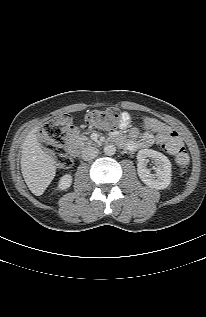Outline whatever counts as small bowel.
<instances>
[{
	"mask_svg": "<svg viewBox=\"0 0 206 317\" xmlns=\"http://www.w3.org/2000/svg\"><path fill=\"white\" fill-rule=\"evenodd\" d=\"M130 124V114L127 112L123 113L120 127L126 129L130 126ZM142 124L145 132L140 139H137L139 134L138 129L129 128L126 138L118 136V140L123 142L128 149L137 150L140 148L150 147L155 140L161 142L166 135L174 132L170 126L155 118L146 117L143 119Z\"/></svg>",
	"mask_w": 206,
	"mask_h": 317,
	"instance_id": "small-bowel-1",
	"label": "small bowel"
}]
</instances>
